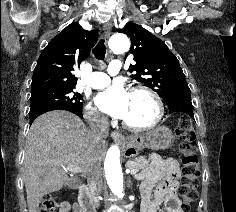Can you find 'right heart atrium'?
I'll list each match as a JSON object with an SVG mask.
<instances>
[{"instance_id": "obj_1", "label": "right heart atrium", "mask_w": 236, "mask_h": 212, "mask_svg": "<svg viewBox=\"0 0 236 212\" xmlns=\"http://www.w3.org/2000/svg\"><path fill=\"white\" fill-rule=\"evenodd\" d=\"M85 118L92 125L104 126L106 124L104 115L91 102L85 106Z\"/></svg>"}]
</instances>
